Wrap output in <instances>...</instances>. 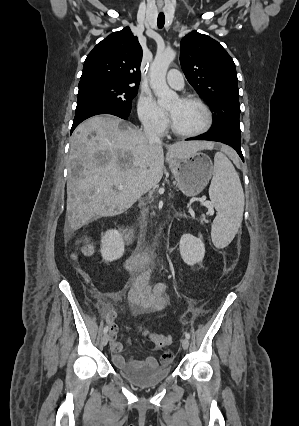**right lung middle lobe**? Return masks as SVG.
Instances as JSON below:
<instances>
[{"label": "right lung middle lobe", "mask_w": 299, "mask_h": 426, "mask_svg": "<svg viewBox=\"0 0 299 426\" xmlns=\"http://www.w3.org/2000/svg\"><path fill=\"white\" fill-rule=\"evenodd\" d=\"M137 95V87L115 83H90L79 85L77 103L95 100L116 106L130 113L132 99Z\"/></svg>", "instance_id": "dd1d6c3e"}]
</instances>
